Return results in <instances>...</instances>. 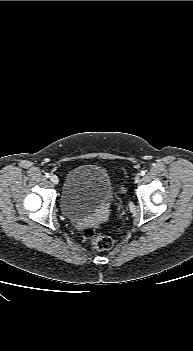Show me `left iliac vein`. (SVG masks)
<instances>
[{"label": "left iliac vein", "mask_w": 193, "mask_h": 351, "mask_svg": "<svg viewBox=\"0 0 193 351\" xmlns=\"http://www.w3.org/2000/svg\"><path fill=\"white\" fill-rule=\"evenodd\" d=\"M139 180H140V176L137 175V176L135 177V182L137 183V182H139Z\"/></svg>", "instance_id": "1"}]
</instances>
